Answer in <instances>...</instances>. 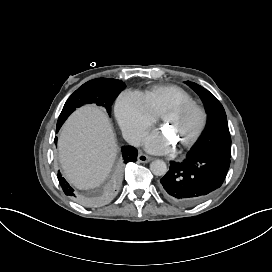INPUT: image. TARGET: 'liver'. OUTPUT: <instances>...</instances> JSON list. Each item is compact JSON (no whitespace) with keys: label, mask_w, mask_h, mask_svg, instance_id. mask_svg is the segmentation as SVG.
<instances>
[{"label":"liver","mask_w":272,"mask_h":272,"mask_svg":"<svg viewBox=\"0 0 272 272\" xmlns=\"http://www.w3.org/2000/svg\"><path fill=\"white\" fill-rule=\"evenodd\" d=\"M117 147L107 115L94 106L74 113L59 138L66 178L80 189L100 185L110 171Z\"/></svg>","instance_id":"6515ba94"}]
</instances>
